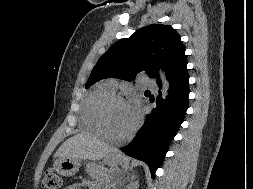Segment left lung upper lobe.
<instances>
[{
    "label": "left lung upper lobe",
    "instance_id": "1",
    "mask_svg": "<svg viewBox=\"0 0 253 189\" xmlns=\"http://www.w3.org/2000/svg\"><path fill=\"white\" fill-rule=\"evenodd\" d=\"M185 60L180 35L170 25L151 24L113 44L99 58L86 88L110 77L131 81L140 72L156 78L159 85L158 68L170 78Z\"/></svg>",
    "mask_w": 253,
    "mask_h": 189
}]
</instances>
